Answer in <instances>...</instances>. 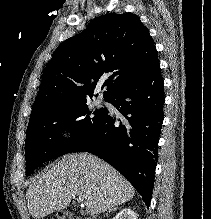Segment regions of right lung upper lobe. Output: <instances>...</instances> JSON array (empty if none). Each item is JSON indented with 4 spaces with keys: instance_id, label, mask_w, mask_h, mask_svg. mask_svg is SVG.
<instances>
[{
    "instance_id": "1",
    "label": "right lung upper lobe",
    "mask_w": 211,
    "mask_h": 219,
    "mask_svg": "<svg viewBox=\"0 0 211 219\" xmlns=\"http://www.w3.org/2000/svg\"><path fill=\"white\" fill-rule=\"evenodd\" d=\"M148 29L131 13H109L65 40L46 65L30 119L92 97L97 82L109 99L158 61Z\"/></svg>"
}]
</instances>
